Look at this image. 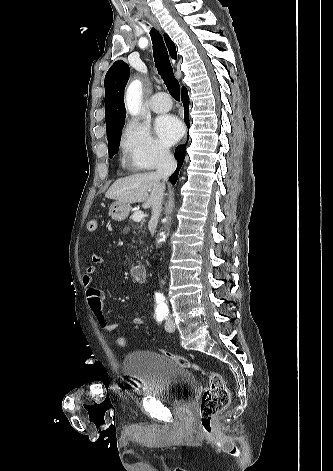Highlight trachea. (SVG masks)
<instances>
[{"instance_id": "1", "label": "trachea", "mask_w": 333, "mask_h": 471, "mask_svg": "<svg viewBox=\"0 0 333 471\" xmlns=\"http://www.w3.org/2000/svg\"><path fill=\"white\" fill-rule=\"evenodd\" d=\"M150 35L153 43V56L155 66L163 79L170 95L177 101L180 100V85L173 73L167 49L161 34L152 28Z\"/></svg>"}]
</instances>
